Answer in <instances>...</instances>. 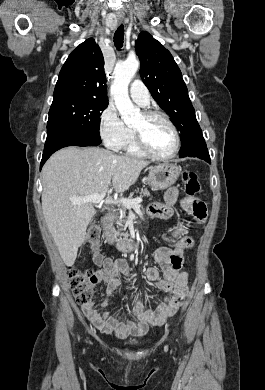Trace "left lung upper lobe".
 I'll return each instance as SVG.
<instances>
[{
  "label": "left lung upper lobe",
  "mask_w": 265,
  "mask_h": 390,
  "mask_svg": "<svg viewBox=\"0 0 265 390\" xmlns=\"http://www.w3.org/2000/svg\"><path fill=\"white\" fill-rule=\"evenodd\" d=\"M135 50L143 83L180 131L179 157H183L204 138L181 71L171 53L148 32L139 34Z\"/></svg>",
  "instance_id": "left-lung-upper-lobe-1"
}]
</instances>
